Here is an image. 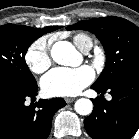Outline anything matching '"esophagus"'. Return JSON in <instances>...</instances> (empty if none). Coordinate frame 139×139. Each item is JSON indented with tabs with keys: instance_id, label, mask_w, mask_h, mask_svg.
Wrapping results in <instances>:
<instances>
[{
	"instance_id": "1",
	"label": "esophagus",
	"mask_w": 139,
	"mask_h": 139,
	"mask_svg": "<svg viewBox=\"0 0 139 139\" xmlns=\"http://www.w3.org/2000/svg\"><path fill=\"white\" fill-rule=\"evenodd\" d=\"M75 100V98L67 97L65 98L66 103H72Z\"/></svg>"
}]
</instances>
